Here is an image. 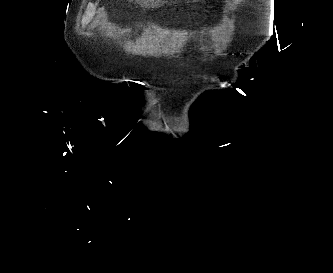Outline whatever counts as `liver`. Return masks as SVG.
I'll list each match as a JSON object with an SVG mask.
<instances>
[{
    "mask_svg": "<svg viewBox=\"0 0 333 273\" xmlns=\"http://www.w3.org/2000/svg\"><path fill=\"white\" fill-rule=\"evenodd\" d=\"M150 2H151V6L152 7H157V6H159V0H157V1H153V0H150ZM141 5H144V6H149V0H143V1H141Z\"/></svg>",
    "mask_w": 333,
    "mask_h": 273,
    "instance_id": "liver-1",
    "label": "liver"
}]
</instances>
